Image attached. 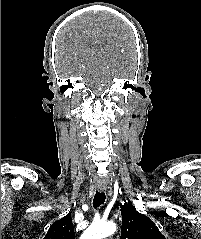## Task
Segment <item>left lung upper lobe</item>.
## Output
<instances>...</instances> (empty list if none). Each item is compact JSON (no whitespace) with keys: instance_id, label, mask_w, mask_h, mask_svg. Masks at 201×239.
Instances as JSON below:
<instances>
[{"instance_id":"obj_1","label":"left lung upper lobe","mask_w":201,"mask_h":239,"mask_svg":"<svg viewBox=\"0 0 201 239\" xmlns=\"http://www.w3.org/2000/svg\"><path fill=\"white\" fill-rule=\"evenodd\" d=\"M121 206V239H165L155 224L136 211L131 202Z\"/></svg>"}]
</instances>
